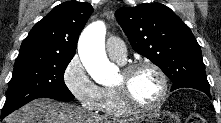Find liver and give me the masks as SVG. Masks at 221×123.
I'll return each mask as SVG.
<instances>
[{
  "mask_svg": "<svg viewBox=\"0 0 221 123\" xmlns=\"http://www.w3.org/2000/svg\"><path fill=\"white\" fill-rule=\"evenodd\" d=\"M5 121L6 123H132L135 120H110L87 113L68 103L42 98L8 115Z\"/></svg>",
  "mask_w": 221,
  "mask_h": 123,
  "instance_id": "1",
  "label": "liver"
}]
</instances>
